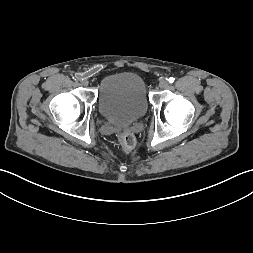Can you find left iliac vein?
<instances>
[{
    "label": "left iliac vein",
    "mask_w": 253,
    "mask_h": 253,
    "mask_svg": "<svg viewBox=\"0 0 253 253\" xmlns=\"http://www.w3.org/2000/svg\"><path fill=\"white\" fill-rule=\"evenodd\" d=\"M169 83L166 79H162L160 82H159V87L161 89H166L168 87Z\"/></svg>",
    "instance_id": "obj_1"
}]
</instances>
